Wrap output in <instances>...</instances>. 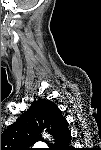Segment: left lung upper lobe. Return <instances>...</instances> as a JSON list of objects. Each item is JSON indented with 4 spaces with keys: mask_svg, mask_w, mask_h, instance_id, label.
I'll list each match as a JSON object with an SVG mask.
<instances>
[{
    "mask_svg": "<svg viewBox=\"0 0 101 150\" xmlns=\"http://www.w3.org/2000/svg\"><path fill=\"white\" fill-rule=\"evenodd\" d=\"M66 120L58 107L50 100H38L1 135L4 147L18 149L35 143L39 129H47L56 141L68 130Z\"/></svg>",
    "mask_w": 101,
    "mask_h": 150,
    "instance_id": "left-lung-upper-lobe-1",
    "label": "left lung upper lobe"
}]
</instances>
